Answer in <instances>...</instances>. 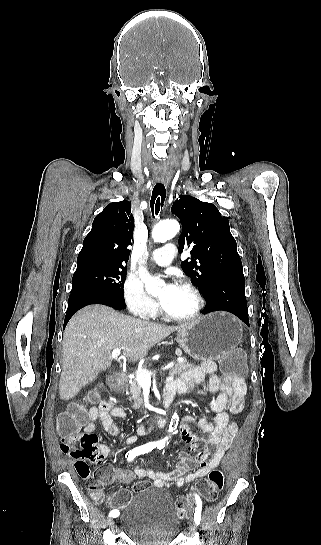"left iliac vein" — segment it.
<instances>
[{"label":"left iliac vein","instance_id":"4c4485c4","mask_svg":"<svg viewBox=\"0 0 321 545\" xmlns=\"http://www.w3.org/2000/svg\"><path fill=\"white\" fill-rule=\"evenodd\" d=\"M189 529H190V531H191L192 533L195 532L196 524H195V521H194L193 518H191V519L189 520Z\"/></svg>","mask_w":321,"mask_h":545}]
</instances>
